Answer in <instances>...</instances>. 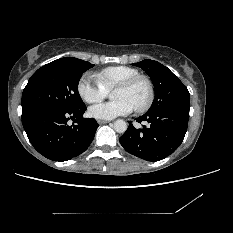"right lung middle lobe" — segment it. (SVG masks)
I'll return each instance as SVG.
<instances>
[{
  "label": "right lung middle lobe",
  "mask_w": 233,
  "mask_h": 233,
  "mask_svg": "<svg viewBox=\"0 0 233 233\" xmlns=\"http://www.w3.org/2000/svg\"><path fill=\"white\" fill-rule=\"evenodd\" d=\"M94 64L73 57L57 59L39 68L23 90L22 117L46 108L77 110L85 106L78 83Z\"/></svg>",
  "instance_id": "obj_1"
}]
</instances>
